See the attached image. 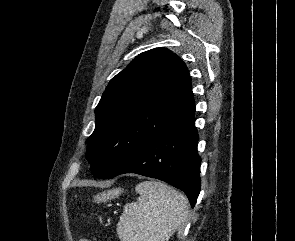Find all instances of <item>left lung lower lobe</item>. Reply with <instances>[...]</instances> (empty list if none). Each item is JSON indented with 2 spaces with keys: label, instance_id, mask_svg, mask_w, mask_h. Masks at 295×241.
Returning <instances> with one entry per match:
<instances>
[{
  "label": "left lung lower lobe",
  "instance_id": "0a47b994",
  "mask_svg": "<svg viewBox=\"0 0 295 241\" xmlns=\"http://www.w3.org/2000/svg\"><path fill=\"white\" fill-rule=\"evenodd\" d=\"M194 114L152 139L111 178L125 173L157 178L182 190L194 207L200 192L201 163Z\"/></svg>",
  "mask_w": 295,
  "mask_h": 241
}]
</instances>
